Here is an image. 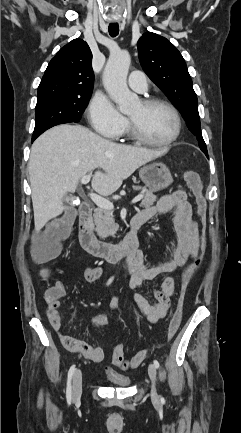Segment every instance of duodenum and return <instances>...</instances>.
<instances>
[{"label": "duodenum", "mask_w": 241, "mask_h": 433, "mask_svg": "<svg viewBox=\"0 0 241 433\" xmlns=\"http://www.w3.org/2000/svg\"><path fill=\"white\" fill-rule=\"evenodd\" d=\"M79 241L84 250L93 256L116 262L131 258L138 253L139 232L146 219L135 215L130 223V230L120 243H108L99 240L92 230L93 207L89 203L80 206Z\"/></svg>", "instance_id": "obj_1"}]
</instances>
